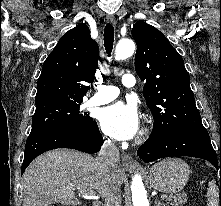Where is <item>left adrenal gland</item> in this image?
Returning <instances> with one entry per match:
<instances>
[{
    "label": "left adrenal gland",
    "instance_id": "obj_1",
    "mask_svg": "<svg viewBox=\"0 0 221 206\" xmlns=\"http://www.w3.org/2000/svg\"><path fill=\"white\" fill-rule=\"evenodd\" d=\"M155 205L156 206H165V204L161 203L160 200H158V199L155 200Z\"/></svg>",
    "mask_w": 221,
    "mask_h": 206
}]
</instances>
